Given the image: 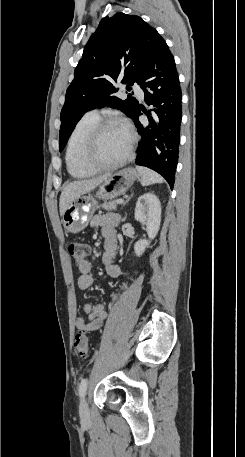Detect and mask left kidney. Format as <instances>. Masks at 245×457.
I'll use <instances>...</instances> for the list:
<instances>
[{
	"label": "left kidney",
	"instance_id": "obj_1",
	"mask_svg": "<svg viewBox=\"0 0 245 457\" xmlns=\"http://www.w3.org/2000/svg\"><path fill=\"white\" fill-rule=\"evenodd\" d=\"M135 218L139 220L141 224H146V231L149 237L147 239H140L134 245L135 255L141 257L145 249L149 247L152 239H155L161 222V202L153 192H144L139 196L135 206Z\"/></svg>",
	"mask_w": 245,
	"mask_h": 457
}]
</instances>
